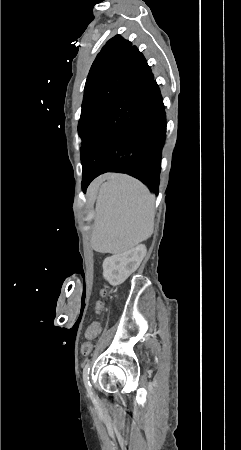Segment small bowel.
I'll use <instances>...</instances> for the list:
<instances>
[{
  "instance_id": "small-bowel-1",
  "label": "small bowel",
  "mask_w": 241,
  "mask_h": 450,
  "mask_svg": "<svg viewBox=\"0 0 241 450\" xmlns=\"http://www.w3.org/2000/svg\"><path fill=\"white\" fill-rule=\"evenodd\" d=\"M94 331H99V332H101V330H94Z\"/></svg>"
}]
</instances>
